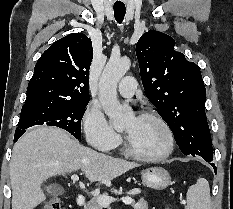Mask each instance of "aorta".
<instances>
[{
  "instance_id": "aorta-1",
  "label": "aorta",
  "mask_w": 233,
  "mask_h": 209,
  "mask_svg": "<svg viewBox=\"0 0 233 209\" xmlns=\"http://www.w3.org/2000/svg\"><path fill=\"white\" fill-rule=\"evenodd\" d=\"M126 58L110 59L99 81V100L116 130H122L132 117L131 108L122 106L117 98V85L130 68Z\"/></svg>"
}]
</instances>
